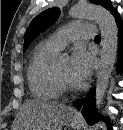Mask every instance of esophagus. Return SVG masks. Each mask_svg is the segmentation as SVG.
Instances as JSON below:
<instances>
[{
	"label": "esophagus",
	"mask_w": 123,
	"mask_h": 130,
	"mask_svg": "<svg viewBox=\"0 0 123 130\" xmlns=\"http://www.w3.org/2000/svg\"><path fill=\"white\" fill-rule=\"evenodd\" d=\"M76 117L79 118L80 116L77 114Z\"/></svg>",
	"instance_id": "1"
}]
</instances>
